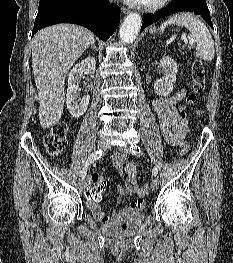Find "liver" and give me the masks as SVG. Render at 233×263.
Segmentation results:
<instances>
[{"instance_id": "6515ba94", "label": "liver", "mask_w": 233, "mask_h": 263, "mask_svg": "<svg viewBox=\"0 0 233 263\" xmlns=\"http://www.w3.org/2000/svg\"><path fill=\"white\" fill-rule=\"evenodd\" d=\"M93 41L91 31L74 24L52 25L35 34L32 40V67L42 128H50L61 118L66 76Z\"/></svg>"}]
</instances>
